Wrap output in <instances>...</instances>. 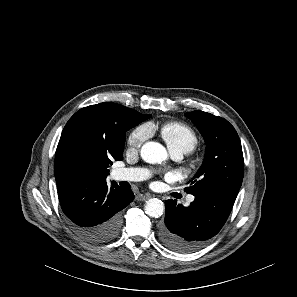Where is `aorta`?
Segmentation results:
<instances>
[{"label":"aorta","instance_id":"1","mask_svg":"<svg viewBox=\"0 0 297 297\" xmlns=\"http://www.w3.org/2000/svg\"><path fill=\"white\" fill-rule=\"evenodd\" d=\"M141 157L148 163H161L167 158V152L163 145L158 142H146L140 151ZM145 213L150 217L158 218L164 212V204L157 198H152L145 203Z\"/></svg>","mask_w":297,"mask_h":297}]
</instances>
